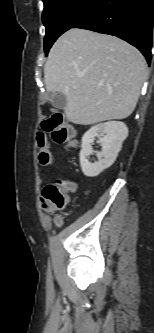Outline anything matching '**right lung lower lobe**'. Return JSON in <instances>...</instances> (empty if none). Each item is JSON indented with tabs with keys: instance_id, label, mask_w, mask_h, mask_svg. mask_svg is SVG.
<instances>
[{
	"instance_id": "1",
	"label": "right lung lower lobe",
	"mask_w": 154,
	"mask_h": 333,
	"mask_svg": "<svg viewBox=\"0 0 154 333\" xmlns=\"http://www.w3.org/2000/svg\"><path fill=\"white\" fill-rule=\"evenodd\" d=\"M153 0H99L72 28L117 36L138 48L151 63Z\"/></svg>"
}]
</instances>
